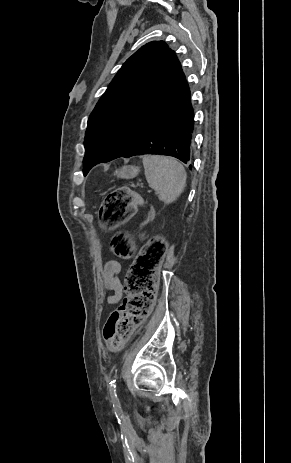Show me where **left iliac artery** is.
I'll use <instances>...</instances> for the list:
<instances>
[{
	"label": "left iliac artery",
	"mask_w": 291,
	"mask_h": 463,
	"mask_svg": "<svg viewBox=\"0 0 291 463\" xmlns=\"http://www.w3.org/2000/svg\"><path fill=\"white\" fill-rule=\"evenodd\" d=\"M110 395L112 398V401L115 404H119V399L117 397V392H116V379H112L110 382V387H109Z\"/></svg>",
	"instance_id": "left-iliac-artery-1"
}]
</instances>
